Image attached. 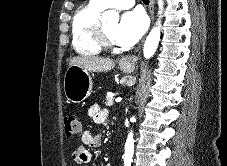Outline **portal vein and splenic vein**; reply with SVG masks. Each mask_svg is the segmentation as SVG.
Masks as SVG:
<instances>
[{
  "label": "portal vein and splenic vein",
  "instance_id": "1",
  "mask_svg": "<svg viewBox=\"0 0 227 166\" xmlns=\"http://www.w3.org/2000/svg\"><path fill=\"white\" fill-rule=\"evenodd\" d=\"M122 100V98H117L116 102H120Z\"/></svg>",
  "mask_w": 227,
  "mask_h": 166
}]
</instances>
